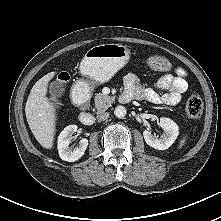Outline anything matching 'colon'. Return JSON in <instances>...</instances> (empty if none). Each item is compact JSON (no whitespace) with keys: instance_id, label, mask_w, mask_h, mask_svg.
I'll use <instances>...</instances> for the list:
<instances>
[{"instance_id":"5ec220e1","label":"colon","mask_w":221,"mask_h":221,"mask_svg":"<svg viewBox=\"0 0 221 221\" xmlns=\"http://www.w3.org/2000/svg\"><path fill=\"white\" fill-rule=\"evenodd\" d=\"M147 65L156 71L165 72L170 69L169 60L158 53H153L148 56L146 60ZM56 106V103H55ZM203 111V102L198 94H192L188 97L186 102V114L191 119H197L201 116Z\"/></svg>"}]
</instances>
